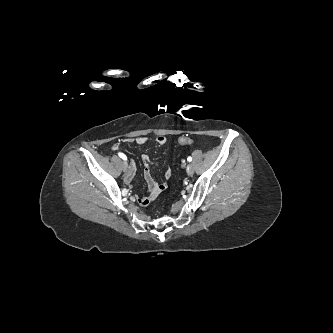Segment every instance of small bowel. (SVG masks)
Segmentation results:
<instances>
[{
	"instance_id": "obj_1",
	"label": "small bowel",
	"mask_w": 333,
	"mask_h": 333,
	"mask_svg": "<svg viewBox=\"0 0 333 333\" xmlns=\"http://www.w3.org/2000/svg\"><path fill=\"white\" fill-rule=\"evenodd\" d=\"M129 142H135L138 145H144L146 143L149 142V138L145 137V136H140L137 138H129L127 139ZM155 142L160 145V146H164L167 144V139L164 136H158L157 138H155ZM119 148V144H114L112 146L113 150H117ZM142 162L144 163L145 166V170H144V177L148 186V191L149 194L148 196H142L138 198V203L142 206H148L154 199H156V197L165 190L166 188V184L165 183H157L154 178L152 177L151 174V162L149 161L148 157L146 155H143L141 157ZM135 164L133 161H131V164L129 166V170L126 172L125 175V181L127 183H131L134 175H135ZM171 176V171L170 169L166 170L165 172V177L169 178Z\"/></svg>"
}]
</instances>
